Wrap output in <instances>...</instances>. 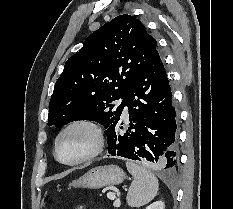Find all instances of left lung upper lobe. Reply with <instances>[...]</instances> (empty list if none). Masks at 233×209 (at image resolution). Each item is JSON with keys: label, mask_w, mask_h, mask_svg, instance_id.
<instances>
[{"label": "left lung upper lobe", "mask_w": 233, "mask_h": 209, "mask_svg": "<svg viewBox=\"0 0 233 209\" xmlns=\"http://www.w3.org/2000/svg\"><path fill=\"white\" fill-rule=\"evenodd\" d=\"M156 46L145 26L128 14L94 31L66 61L55 83L48 125L90 120L108 129L120 119L125 97ZM118 99L122 103L115 107L112 102Z\"/></svg>", "instance_id": "obj_1"}]
</instances>
